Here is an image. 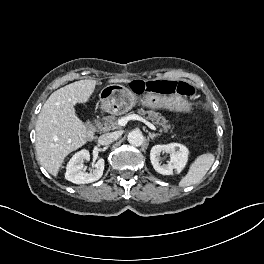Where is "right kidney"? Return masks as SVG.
<instances>
[{
	"instance_id": "ca27d5eb",
	"label": "right kidney",
	"mask_w": 264,
	"mask_h": 264,
	"mask_svg": "<svg viewBox=\"0 0 264 264\" xmlns=\"http://www.w3.org/2000/svg\"><path fill=\"white\" fill-rule=\"evenodd\" d=\"M90 159L88 150H81L73 155L66 167L65 178L75 184H87L99 180L104 171L105 162L100 158L94 165V169L90 173L83 172L84 161Z\"/></svg>"
}]
</instances>
